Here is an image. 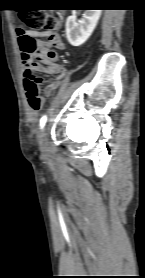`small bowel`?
<instances>
[{
  "label": "small bowel",
  "instance_id": "obj_1",
  "mask_svg": "<svg viewBox=\"0 0 145 278\" xmlns=\"http://www.w3.org/2000/svg\"><path fill=\"white\" fill-rule=\"evenodd\" d=\"M25 33L26 35L37 39L38 44L42 47L54 48L56 50H63L65 48V43L57 32L26 31ZM40 38H47V40H40ZM29 65H32L33 70L36 72L55 76L54 80L45 86L44 93L48 90L54 91L61 83L64 76V69L55 61L50 62L46 58H41L40 61L32 63V61L23 58L24 69H26Z\"/></svg>",
  "mask_w": 145,
  "mask_h": 278
}]
</instances>
